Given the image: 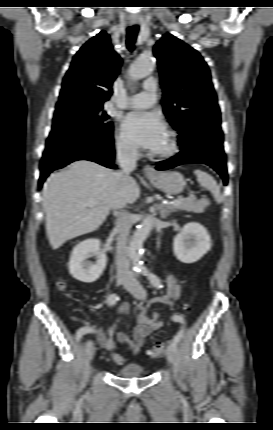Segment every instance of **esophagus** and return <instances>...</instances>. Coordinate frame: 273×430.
Here are the masks:
<instances>
[{
	"instance_id": "obj_1",
	"label": "esophagus",
	"mask_w": 273,
	"mask_h": 430,
	"mask_svg": "<svg viewBox=\"0 0 273 430\" xmlns=\"http://www.w3.org/2000/svg\"><path fill=\"white\" fill-rule=\"evenodd\" d=\"M131 24H136V22H131ZM143 172L147 176H152L156 174L155 169L150 165H146L143 169Z\"/></svg>"
}]
</instances>
